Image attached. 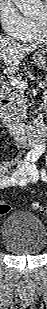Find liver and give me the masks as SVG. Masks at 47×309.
<instances>
[{
	"mask_svg": "<svg viewBox=\"0 0 47 309\" xmlns=\"http://www.w3.org/2000/svg\"><path fill=\"white\" fill-rule=\"evenodd\" d=\"M37 45H25L15 40L0 37V60L6 65L4 73L13 74L18 71L21 61L28 54L34 52Z\"/></svg>",
	"mask_w": 47,
	"mask_h": 309,
	"instance_id": "liver-1",
	"label": "liver"
}]
</instances>
